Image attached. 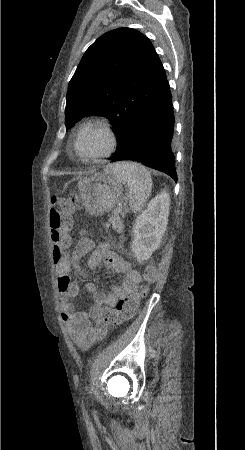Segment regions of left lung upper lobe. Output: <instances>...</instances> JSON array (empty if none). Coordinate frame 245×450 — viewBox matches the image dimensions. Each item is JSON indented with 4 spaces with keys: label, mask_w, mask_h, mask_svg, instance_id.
I'll list each match as a JSON object with an SVG mask.
<instances>
[{
    "label": "left lung upper lobe",
    "mask_w": 245,
    "mask_h": 450,
    "mask_svg": "<svg viewBox=\"0 0 245 450\" xmlns=\"http://www.w3.org/2000/svg\"><path fill=\"white\" fill-rule=\"evenodd\" d=\"M165 79L145 35L131 28L105 33L87 49L69 82L66 130L85 116H106L118 138L117 151L122 150L142 109Z\"/></svg>",
    "instance_id": "left-lung-upper-lobe-1"
}]
</instances>
